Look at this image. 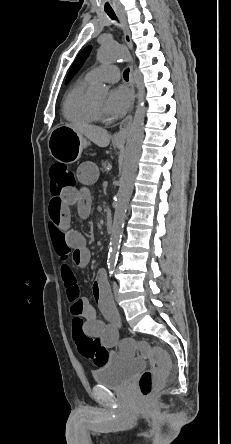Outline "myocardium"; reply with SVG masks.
Instances as JSON below:
<instances>
[{
	"mask_svg": "<svg viewBox=\"0 0 231 444\" xmlns=\"http://www.w3.org/2000/svg\"><path fill=\"white\" fill-rule=\"evenodd\" d=\"M94 108H95L97 114H99V115L102 114V109L98 108L96 105H94Z\"/></svg>",
	"mask_w": 231,
	"mask_h": 444,
	"instance_id": "f54148a6",
	"label": "myocardium"
}]
</instances>
